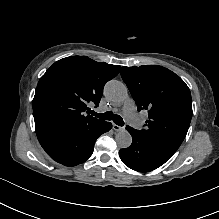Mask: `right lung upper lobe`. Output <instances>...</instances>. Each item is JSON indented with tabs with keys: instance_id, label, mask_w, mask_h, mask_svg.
<instances>
[{
	"instance_id": "right-lung-upper-lobe-1",
	"label": "right lung upper lobe",
	"mask_w": 219,
	"mask_h": 219,
	"mask_svg": "<svg viewBox=\"0 0 219 219\" xmlns=\"http://www.w3.org/2000/svg\"><path fill=\"white\" fill-rule=\"evenodd\" d=\"M120 66L71 56L55 62L40 78L33 99L36 134L89 129L103 120L85 115L99 105L103 88Z\"/></svg>"
}]
</instances>
